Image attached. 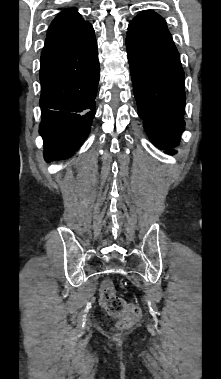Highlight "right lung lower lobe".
I'll list each match as a JSON object with an SVG mask.
<instances>
[{"instance_id":"right-lung-lower-lobe-1","label":"right lung lower lobe","mask_w":221,"mask_h":379,"mask_svg":"<svg viewBox=\"0 0 221 379\" xmlns=\"http://www.w3.org/2000/svg\"><path fill=\"white\" fill-rule=\"evenodd\" d=\"M100 66L90 23L41 53L39 132L47 162L67 159L88 136L95 115Z\"/></svg>"}]
</instances>
